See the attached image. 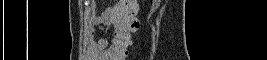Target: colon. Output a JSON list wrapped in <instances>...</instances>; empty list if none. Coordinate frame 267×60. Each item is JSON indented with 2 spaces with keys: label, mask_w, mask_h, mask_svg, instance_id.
<instances>
[{
  "label": "colon",
  "mask_w": 267,
  "mask_h": 60,
  "mask_svg": "<svg viewBox=\"0 0 267 60\" xmlns=\"http://www.w3.org/2000/svg\"><path fill=\"white\" fill-rule=\"evenodd\" d=\"M138 10V4L134 0H121L114 7L109 20L110 24L115 27V31L112 45L104 52L106 59H129V46L132 34L138 29L136 17Z\"/></svg>",
  "instance_id": "obj_1"
}]
</instances>
